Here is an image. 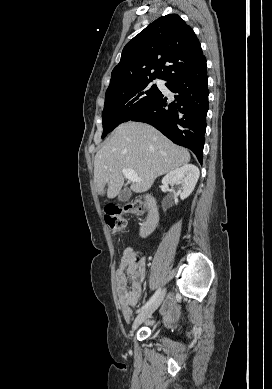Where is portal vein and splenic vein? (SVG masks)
Here are the masks:
<instances>
[{
	"instance_id": "1",
	"label": "portal vein and splenic vein",
	"mask_w": 272,
	"mask_h": 389,
	"mask_svg": "<svg viewBox=\"0 0 272 389\" xmlns=\"http://www.w3.org/2000/svg\"><path fill=\"white\" fill-rule=\"evenodd\" d=\"M122 173L131 182H140L141 181V179L138 177L137 173L131 169H123Z\"/></svg>"
}]
</instances>
